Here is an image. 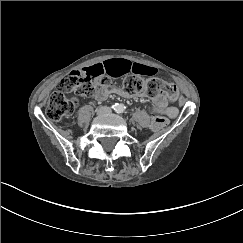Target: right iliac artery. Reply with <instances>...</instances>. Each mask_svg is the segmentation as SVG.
I'll return each instance as SVG.
<instances>
[{
	"instance_id": "1",
	"label": "right iliac artery",
	"mask_w": 243,
	"mask_h": 243,
	"mask_svg": "<svg viewBox=\"0 0 243 243\" xmlns=\"http://www.w3.org/2000/svg\"><path fill=\"white\" fill-rule=\"evenodd\" d=\"M119 106L118 104L116 103L115 105L112 106L113 109H117Z\"/></svg>"
}]
</instances>
